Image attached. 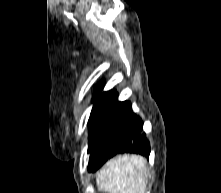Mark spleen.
I'll use <instances>...</instances> for the list:
<instances>
[{"label": "spleen", "mask_w": 221, "mask_h": 193, "mask_svg": "<svg viewBox=\"0 0 221 193\" xmlns=\"http://www.w3.org/2000/svg\"><path fill=\"white\" fill-rule=\"evenodd\" d=\"M146 162L137 155L110 160L97 176L98 189L108 193H145Z\"/></svg>", "instance_id": "spleen-1"}]
</instances>
